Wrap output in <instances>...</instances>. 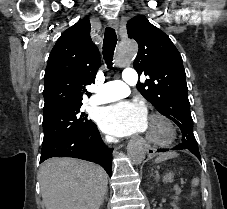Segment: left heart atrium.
Returning <instances> with one entry per match:
<instances>
[{
	"instance_id": "obj_1",
	"label": "left heart atrium",
	"mask_w": 227,
	"mask_h": 209,
	"mask_svg": "<svg viewBox=\"0 0 227 209\" xmlns=\"http://www.w3.org/2000/svg\"><path fill=\"white\" fill-rule=\"evenodd\" d=\"M96 120L102 131L118 137L142 132L149 122L147 108L139 98L121 100L103 107Z\"/></svg>"
}]
</instances>
